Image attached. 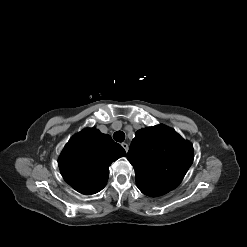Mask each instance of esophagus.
<instances>
[{
    "mask_svg": "<svg viewBox=\"0 0 247 247\" xmlns=\"http://www.w3.org/2000/svg\"><path fill=\"white\" fill-rule=\"evenodd\" d=\"M121 146L124 148V150L127 152L128 151V144L127 143H122Z\"/></svg>",
    "mask_w": 247,
    "mask_h": 247,
    "instance_id": "1",
    "label": "esophagus"
}]
</instances>
